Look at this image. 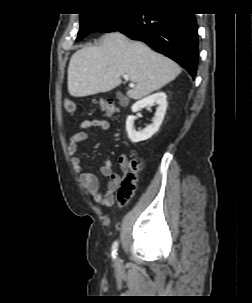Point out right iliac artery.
I'll return each instance as SVG.
<instances>
[{"mask_svg": "<svg viewBox=\"0 0 252 303\" xmlns=\"http://www.w3.org/2000/svg\"><path fill=\"white\" fill-rule=\"evenodd\" d=\"M117 248H118V241H115L112 245V257L116 259L117 256Z\"/></svg>", "mask_w": 252, "mask_h": 303, "instance_id": "obj_1", "label": "right iliac artery"}]
</instances>
